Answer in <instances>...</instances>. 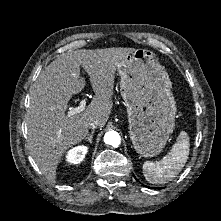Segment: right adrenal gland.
Listing matches in <instances>:
<instances>
[{
	"instance_id": "obj_1",
	"label": "right adrenal gland",
	"mask_w": 221,
	"mask_h": 221,
	"mask_svg": "<svg viewBox=\"0 0 221 221\" xmlns=\"http://www.w3.org/2000/svg\"><path fill=\"white\" fill-rule=\"evenodd\" d=\"M95 131L93 130L87 137H85L84 139L86 141H88L90 144H92V140H93V135H94Z\"/></svg>"
}]
</instances>
